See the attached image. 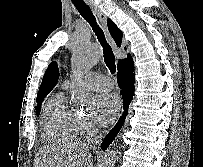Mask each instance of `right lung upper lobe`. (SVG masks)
Masks as SVG:
<instances>
[{"label": "right lung upper lobe", "instance_id": "obj_1", "mask_svg": "<svg viewBox=\"0 0 203 167\" xmlns=\"http://www.w3.org/2000/svg\"><path fill=\"white\" fill-rule=\"evenodd\" d=\"M107 25H108V29H109L111 36L115 40L117 46L120 47L121 42H122V36H123L122 31L115 25V23L111 19L107 20ZM130 60H132V57L129 55L127 56V58H125L123 60H119L118 68L123 63L130 61ZM58 78H59V72H58L57 64L55 62H52L49 65V67L44 75L43 82L39 89L38 96H37L38 103L43 101L44 97L53 89V87L57 83Z\"/></svg>", "mask_w": 203, "mask_h": 167}]
</instances>
